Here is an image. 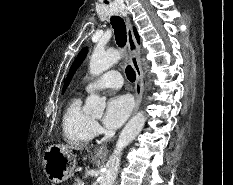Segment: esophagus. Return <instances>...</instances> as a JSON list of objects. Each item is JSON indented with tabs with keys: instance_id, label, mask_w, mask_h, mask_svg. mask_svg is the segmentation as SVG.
<instances>
[{
	"instance_id": "34e87169",
	"label": "esophagus",
	"mask_w": 233,
	"mask_h": 185,
	"mask_svg": "<svg viewBox=\"0 0 233 185\" xmlns=\"http://www.w3.org/2000/svg\"><path fill=\"white\" fill-rule=\"evenodd\" d=\"M127 28V46L130 52V62L136 74L135 83V108L133 114H135L142 101V95L144 90L143 71L140 66V47L136 41L133 33L132 23L128 17H126ZM95 153L99 156H106L108 154L107 145H102L95 149Z\"/></svg>"
}]
</instances>
